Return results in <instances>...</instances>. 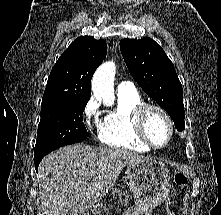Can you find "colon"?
I'll return each mask as SVG.
<instances>
[{"label":"colon","instance_id":"obj_1","mask_svg":"<svg viewBox=\"0 0 221 215\" xmlns=\"http://www.w3.org/2000/svg\"><path fill=\"white\" fill-rule=\"evenodd\" d=\"M174 180L176 185L183 189L188 183V176L184 171L179 170L175 173Z\"/></svg>","mask_w":221,"mask_h":215}]
</instances>
